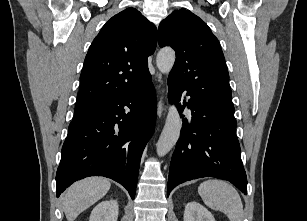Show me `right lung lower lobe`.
Masks as SVG:
<instances>
[{
    "mask_svg": "<svg viewBox=\"0 0 307 221\" xmlns=\"http://www.w3.org/2000/svg\"><path fill=\"white\" fill-rule=\"evenodd\" d=\"M155 121L151 75L141 88L73 119L57 169V197L77 180L104 176L123 185L134 199L141 155Z\"/></svg>",
    "mask_w": 307,
    "mask_h": 221,
    "instance_id": "1",
    "label": "right lung lower lobe"
}]
</instances>
